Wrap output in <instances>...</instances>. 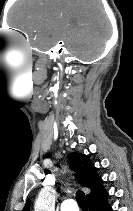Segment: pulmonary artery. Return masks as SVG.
<instances>
[{"label":"pulmonary artery","instance_id":"1","mask_svg":"<svg viewBox=\"0 0 133 211\" xmlns=\"http://www.w3.org/2000/svg\"><path fill=\"white\" fill-rule=\"evenodd\" d=\"M61 211H79L74 199H66L61 203Z\"/></svg>","mask_w":133,"mask_h":211}]
</instances>
